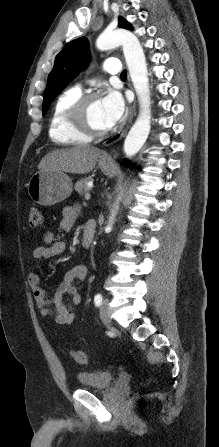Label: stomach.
I'll return each mask as SVG.
<instances>
[{"label": "stomach", "mask_w": 219, "mask_h": 447, "mask_svg": "<svg viewBox=\"0 0 219 447\" xmlns=\"http://www.w3.org/2000/svg\"><path fill=\"white\" fill-rule=\"evenodd\" d=\"M105 175L115 172L116 166L111 158L102 155L98 161ZM71 178L61 171L40 170L28 182L31 199L43 206H52L68 198L72 193Z\"/></svg>", "instance_id": "stomach-1"}]
</instances>
